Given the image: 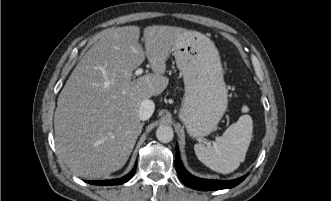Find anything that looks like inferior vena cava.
I'll use <instances>...</instances> for the list:
<instances>
[{"instance_id":"602c4592","label":"inferior vena cava","mask_w":331,"mask_h":201,"mask_svg":"<svg viewBox=\"0 0 331 201\" xmlns=\"http://www.w3.org/2000/svg\"><path fill=\"white\" fill-rule=\"evenodd\" d=\"M155 109V105L154 102L152 100L149 99H145L144 101H142V103L140 104L139 107V118L140 120H148L151 115L153 114Z\"/></svg>"}]
</instances>
